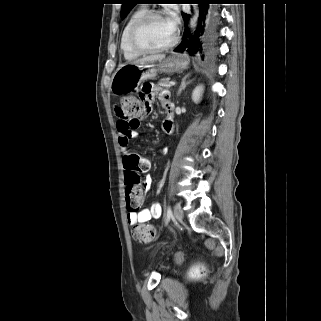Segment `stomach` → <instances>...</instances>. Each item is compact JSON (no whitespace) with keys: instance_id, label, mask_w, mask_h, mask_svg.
Wrapping results in <instances>:
<instances>
[{"instance_id":"0dacf381","label":"stomach","mask_w":321,"mask_h":321,"mask_svg":"<svg viewBox=\"0 0 321 321\" xmlns=\"http://www.w3.org/2000/svg\"><path fill=\"white\" fill-rule=\"evenodd\" d=\"M187 60L181 55H171L158 64H125L116 70L110 89L115 95H124L137 89L142 80L154 79L157 73L172 74L186 69Z\"/></svg>"}]
</instances>
